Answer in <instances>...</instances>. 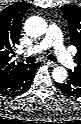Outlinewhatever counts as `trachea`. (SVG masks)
Segmentation results:
<instances>
[{
  "mask_svg": "<svg viewBox=\"0 0 81 124\" xmlns=\"http://www.w3.org/2000/svg\"><path fill=\"white\" fill-rule=\"evenodd\" d=\"M48 60H51L53 62H56L57 61L56 57L53 56V55H48ZM25 61L27 63H34L36 61V58L34 56H30V57L26 58Z\"/></svg>",
  "mask_w": 81,
  "mask_h": 124,
  "instance_id": "trachea-1",
  "label": "trachea"
}]
</instances>
